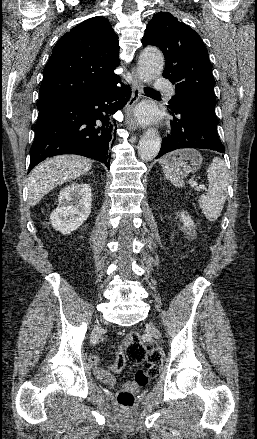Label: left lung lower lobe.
<instances>
[{
  "label": "left lung lower lobe",
  "mask_w": 257,
  "mask_h": 439,
  "mask_svg": "<svg viewBox=\"0 0 257 439\" xmlns=\"http://www.w3.org/2000/svg\"><path fill=\"white\" fill-rule=\"evenodd\" d=\"M170 113L173 116V120L170 121L171 133L162 140L156 158L180 148L225 152L217 134L218 120L214 114L199 106L187 104H182L175 110L170 109Z\"/></svg>",
  "instance_id": "left-lung-lower-lobe-1"
}]
</instances>
